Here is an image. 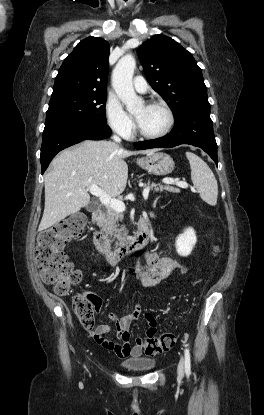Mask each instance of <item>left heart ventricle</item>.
<instances>
[{
	"label": "left heart ventricle",
	"mask_w": 264,
	"mask_h": 415,
	"mask_svg": "<svg viewBox=\"0 0 264 415\" xmlns=\"http://www.w3.org/2000/svg\"><path fill=\"white\" fill-rule=\"evenodd\" d=\"M139 128L146 134L162 131L167 123L165 111L157 106L141 105L134 112Z\"/></svg>",
	"instance_id": "left-heart-ventricle-1"
}]
</instances>
